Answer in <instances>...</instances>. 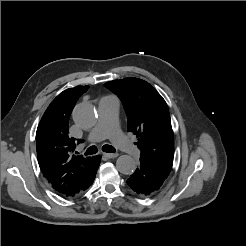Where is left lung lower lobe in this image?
<instances>
[{"label":"left lung lower lobe","instance_id":"obj_1","mask_svg":"<svg viewBox=\"0 0 246 246\" xmlns=\"http://www.w3.org/2000/svg\"><path fill=\"white\" fill-rule=\"evenodd\" d=\"M168 174L146 161H140L139 167L127 180V184L139 195L146 196L157 191Z\"/></svg>","mask_w":246,"mask_h":246}]
</instances>
